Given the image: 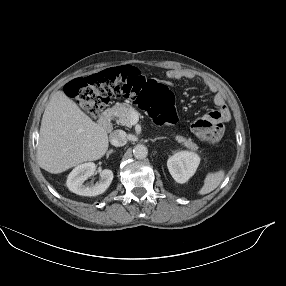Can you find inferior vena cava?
Masks as SVG:
<instances>
[{
    "label": "inferior vena cava",
    "instance_id": "1",
    "mask_svg": "<svg viewBox=\"0 0 286 286\" xmlns=\"http://www.w3.org/2000/svg\"><path fill=\"white\" fill-rule=\"evenodd\" d=\"M110 142L115 147L124 146L127 143L126 133L122 130H115L110 136Z\"/></svg>",
    "mask_w": 286,
    "mask_h": 286
}]
</instances>
